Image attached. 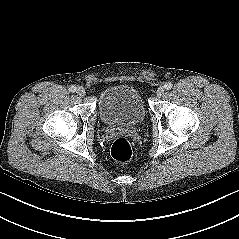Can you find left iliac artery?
<instances>
[{"mask_svg": "<svg viewBox=\"0 0 239 239\" xmlns=\"http://www.w3.org/2000/svg\"><path fill=\"white\" fill-rule=\"evenodd\" d=\"M173 84L171 82H167L164 87L166 90H170L172 88Z\"/></svg>", "mask_w": 239, "mask_h": 239, "instance_id": "obj_1", "label": "left iliac artery"}]
</instances>
